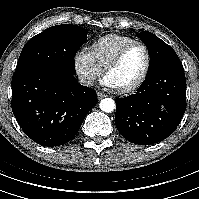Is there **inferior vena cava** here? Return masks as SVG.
Segmentation results:
<instances>
[{"instance_id": "1", "label": "inferior vena cava", "mask_w": 199, "mask_h": 199, "mask_svg": "<svg viewBox=\"0 0 199 199\" xmlns=\"http://www.w3.org/2000/svg\"><path fill=\"white\" fill-rule=\"evenodd\" d=\"M79 83L84 86H93L94 82L91 78L85 76H79Z\"/></svg>"}]
</instances>
